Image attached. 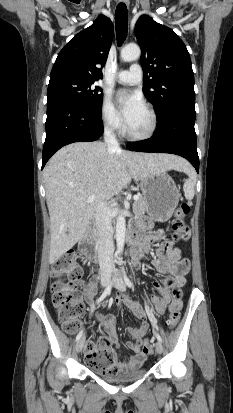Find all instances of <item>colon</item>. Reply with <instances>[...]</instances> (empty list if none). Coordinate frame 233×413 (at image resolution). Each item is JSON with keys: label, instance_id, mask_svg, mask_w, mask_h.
Masks as SVG:
<instances>
[{"label": "colon", "instance_id": "5ec220e1", "mask_svg": "<svg viewBox=\"0 0 233 413\" xmlns=\"http://www.w3.org/2000/svg\"><path fill=\"white\" fill-rule=\"evenodd\" d=\"M189 212L190 206L186 202H183L175 210V219L172 223V239L174 241H178L180 235L186 231L184 218ZM51 274L55 278L52 284V302L56 308L58 320L67 333H73L85 308L82 293L79 290L82 284V270L74 253L68 251L55 260L52 264ZM180 316V308L175 304L168 319L170 328L177 326ZM143 350L146 353L152 351L150 339H145ZM86 362L101 374L112 375L119 372L116 353L110 348L98 349L97 356L88 355Z\"/></svg>", "mask_w": 233, "mask_h": 413}]
</instances>
